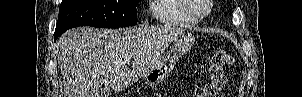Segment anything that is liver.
<instances>
[{
    "label": "liver",
    "instance_id": "1",
    "mask_svg": "<svg viewBox=\"0 0 302 97\" xmlns=\"http://www.w3.org/2000/svg\"><path fill=\"white\" fill-rule=\"evenodd\" d=\"M184 32L166 25L68 30L57 42L64 97H100L106 86L115 92L125 89L156 65L168 44ZM129 58L133 60L131 70L127 68Z\"/></svg>",
    "mask_w": 302,
    "mask_h": 97
}]
</instances>
